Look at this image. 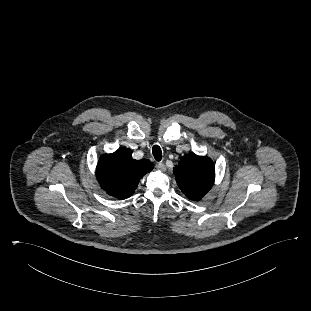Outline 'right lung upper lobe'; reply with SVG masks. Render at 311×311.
<instances>
[{
  "label": "right lung upper lobe",
  "mask_w": 311,
  "mask_h": 311,
  "mask_svg": "<svg viewBox=\"0 0 311 311\" xmlns=\"http://www.w3.org/2000/svg\"><path fill=\"white\" fill-rule=\"evenodd\" d=\"M152 169L151 161L135 160L130 149L120 148L100 157L96 177L101 188L110 196L126 199L134 193L140 179Z\"/></svg>",
  "instance_id": "1"
}]
</instances>
